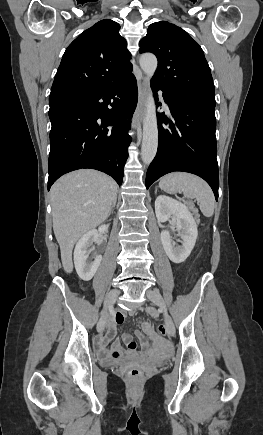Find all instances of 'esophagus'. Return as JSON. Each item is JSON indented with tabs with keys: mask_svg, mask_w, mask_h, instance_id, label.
Masks as SVG:
<instances>
[{
	"mask_svg": "<svg viewBox=\"0 0 263 435\" xmlns=\"http://www.w3.org/2000/svg\"><path fill=\"white\" fill-rule=\"evenodd\" d=\"M148 87H149L148 80L145 76H143L138 83L139 102L133 119L134 128L141 127V122L143 121V117L145 113Z\"/></svg>",
	"mask_w": 263,
	"mask_h": 435,
	"instance_id": "obj_1",
	"label": "esophagus"
}]
</instances>
